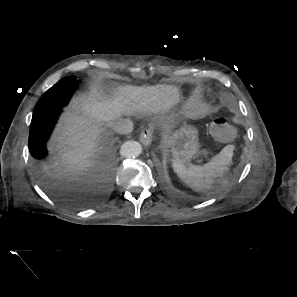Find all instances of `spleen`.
I'll return each mask as SVG.
<instances>
[{
	"mask_svg": "<svg viewBox=\"0 0 297 297\" xmlns=\"http://www.w3.org/2000/svg\"><path fill=\"white\" fill-rule=\"evenodd\" d=\"M234 146H225L220 153L203 166L189 165L174 161L172 166L178 177L197 192L216 191L225 182V175L232 160Z\"/></svg>",
	"mask_w": 297,
	"mask_h": 297,
	"instance_id": "1",
	"label": "spleen"
}]
</instances>
